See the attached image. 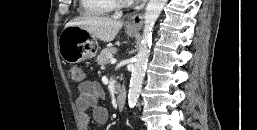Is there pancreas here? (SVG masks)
<instances>
[{
    "mask_svg": "<svg viewBox=\"0 0 257 130\" xmlns=\"http://www.w3.org/2000/svg\"><path fill=\"white\" fill-rule=\"evenodd\" d=\"M117 48L115 47H108L105 48L100 52L98 55L96 61L100 66H105L109 63L110 59L113 57L114 54H116Z\"/></svg>",
    "mask_w": 257,
    "mask_h": 130,
    "instance_id": "1",
    "label": "pancreas"
}]
</instances>
